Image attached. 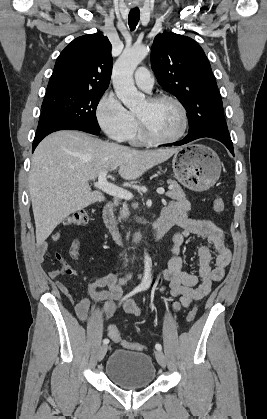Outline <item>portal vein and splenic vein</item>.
<instances>
[{
  "instance_id": "1",
  "label": "portal vein and splenic vein",
  "mask_w": 267,
  "mask_h": 419,
  "mask_svg": "<svg viewBox=\"0 0 267 419\" xmlns=\"http://www.w3.org/2000/svg\"><path fill=\"white\" fill-rule=\"evenodd\" d=\"M107 174L108 170L101 171L98 175V182L95 183V186L104 191L105 193L116 198L131 200L133 198V194L126 189L120 188L114 184L109 183L106 178ZM157 193L162 195L165 193V190L163 188H158Z\"/></svg>"
}]
</instances>
